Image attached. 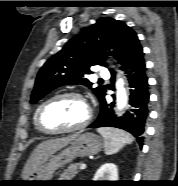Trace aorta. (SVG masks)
<instances>
[{"label":"aorta","mask_w":178,"mask_h":186,"mask_svg":"<svg viewBox=\"0 0 178 186\" xmlns=\"http://www.w3.org/2000/svg\"><path fill=\"white\" fill-rule=\"evenodd\" d=\"M117 88V109L122 110L127 104V94L124 88V82L122 79H118L116 83Z\"/></svg>","instance_id":"obj_1"}]
</instances>
